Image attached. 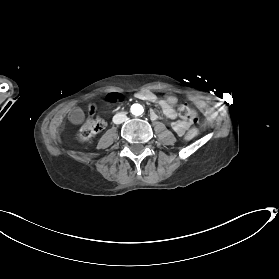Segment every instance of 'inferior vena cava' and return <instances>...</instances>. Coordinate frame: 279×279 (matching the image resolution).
Wrapping results in <instances>:
<instances>
[{
  "mask_svg": "<svg viewBox=\"0 0 279 279\" xmlns=\"http://www.w3.org/2000/svg\"><path fill=\"white\" fill-rule=\"evenodd\" d=\"M127 113L124 114V112L118 113L113 117V122L115 124H120L123 122H126L127 120H129L126 116Z\"/></svg>",
  "mask_w": 279,
  "mask_h": 279,
  "instance_id": "obj_1",
  "label": "inferior vena cava"
}]
</instances>
